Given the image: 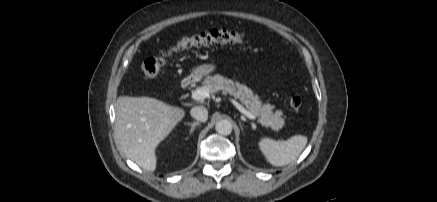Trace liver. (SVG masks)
Instances as JSON below:
<instances>
[{"instance_id": "6515ba94", "label": "liver", "mask_w": 437, "mask_h": 202, "mask_svg": "<svg viewBox=\"0 0 437 202\" xmlns=\"http://www.w3.org/2000/svg\"><path fill=\"white\" fill-rule=\"evenodd\" d=\"M182 108L150 97L119 96L115 134L121 151L146 171L156 169V148L184 118Z\"/></svg>"}]
</instances>
